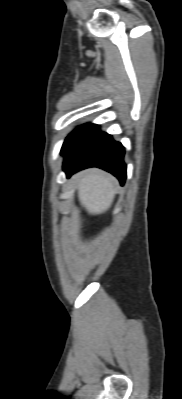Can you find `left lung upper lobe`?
<instances>
[{"mask_svg": "<svg viewBox=\"0 0 182 399\" xmlns=\"http://www.w3.org/2000/svg\"><path fill=\"white\" fill-rule=\"evenodd\" d=\"M75 131V130H74ZM73 131V132H74ZM73 132H71L70 134H69V136L65 139V141H64V143H63V146H62V148H61V152L66 148V146H67V144H68V142H69V139H70V137H71V135L73 134Z\"/></svg>", "mask_w": 182, "mask_h": 399, "instance_id": "1", "label": "left lung upper lobe"}]
</instances>
